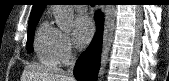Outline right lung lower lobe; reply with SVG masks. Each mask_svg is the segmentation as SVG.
Masks as SVG:
<instances>
[{"mask_svg": "<svg viewBox=\"0 0 169 81\" xmlns=\"http://www.w3.org/2000/svg\"><path fill=\"white\" fill-rule=\"evenodd\" d=\"M98 34L78 58L74 75L78 81H96L100 66V54L102 46L103 18L101 13L96 14Z\"/></svg>", "mask_w": 169, "mask_h": 81, "instance_id": "98d812e1", "label": "right lung lower lobe"}]
</instances>
